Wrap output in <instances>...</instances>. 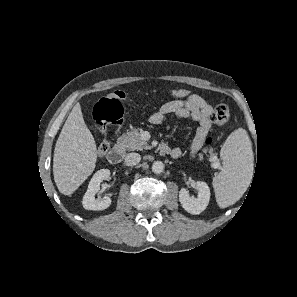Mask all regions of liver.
I'll return each mask as SVG.
<instances>
[{"mask_svg":"<svg viewBox=\"0 0 297 297\" xmlns=\"http://www.w3.org/2000/svg\"><path fill=\"white\" fill-rule=\"evenodd\" d=\"M95 140L84 122L80 104L69 114L55 145L54 181L60 193L71 195L96 166Z\"/></svg>","mask_w":297,"mask_h":297,"instance_id":"6515ba94","label":"liver"}]
</instances>
